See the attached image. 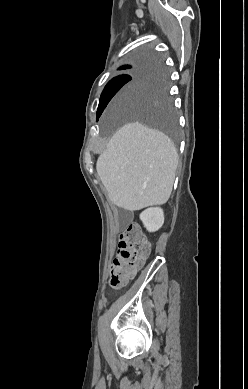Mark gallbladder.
<instances>
[{
    "label": "gallbladder",
    "mask_w": 248,
    "mask_h": 389,
    "mask_svg": "<svg viewBox=\"0 0 248 389\" xmlns=\"http://www.w3.org/2000/svg\"><path fill=\"white\" fill-rule=\"evenodd\" d=\"M131 220V214L124 212L121 216V223L126 225Z\"/></svg>",
    "instance_id": "bac80fb5"
}]
</instances>
